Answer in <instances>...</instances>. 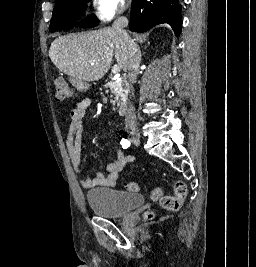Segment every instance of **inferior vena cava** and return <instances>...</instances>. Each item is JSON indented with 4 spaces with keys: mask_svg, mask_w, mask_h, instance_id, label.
I'll return each instance as SVG.
<instances>
[{
    "mask_svg": "<svg viewBox=\"0 0 256 267\" xmlns=\"http://www.w3.org/2000/svg\"><path fill=\"white\" fill-rule=\"evenodd\" d=\"M127 26L128 20L127 18H124V16H119V18H117V20H115V22L112 24L113 30H115L119 36H124L126 42L129 44L127 76L130 84H135L137 80L141 54L137 44H135L134 40H131L126 30H124V28H127ZM125 126L126 128H136L135 108H133V106H129L126 112Z\"/></svg>",
    "mask_w": 256,
    "mask_h": 267,
    "instance_id": "1",
    "label": "inferior vena cava"
}]
</instances>
